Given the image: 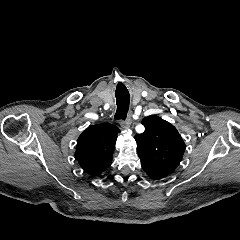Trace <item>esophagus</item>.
Returning <instances> with one entry per match:
<instances>
[{
  "instance_id": "34e87169",
  "label": "esophagus",
  "mask_w": 240,
  "mask_h": 240,
  "mask_svg": "<svg viewBox=\"0 0 240 240\" xmlns=\"http://www.w3.org/2000/svg\"><path fill=\"white\" fill-rule=\"evenodd\" d=\"M131 112H128L127 117L125 119V121L122 123V127L123 128H129L131 126L132 120H131Z\"/></svg>"
}]
</instances>
